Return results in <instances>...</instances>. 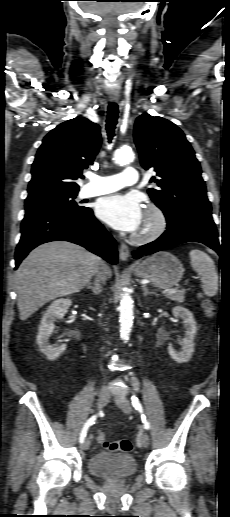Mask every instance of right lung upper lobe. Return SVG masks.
Instances as JSON below:
<instances>
[{
  "instance_id": "right-lung-upper-lobe-1",
  "label": "right lung upper lobe",
  "mask_w": 230,
  "mask_h": 517,
  "mask_svg": "<svg viewBox=\"0 0 230 517\" xmlns=\"http://www.w3.org/2000/svg\"><path fill=\"white\" fill-rule=\"evenodd\" d=\"M101 141L99 125L84 117L58 125L38 149L25 201L78 192L75 181L92 164Z\"/></svg>"
}]
</instances>
